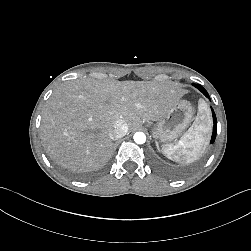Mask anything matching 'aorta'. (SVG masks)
<instances>
[{
	"mask_svg": "<svg viewBox=\"0 0 251 251\" xmlns=\"http://www.w3.org/2000/svg\"><path fill=\"white\" fill-rule=\"evenodd\" d=\"M135 142L137 145H144L147 142L146 136H144L143 134H137L135 136Z\"/></svg>",
	"mask_w": 251,
	"mask_h": 251,
	"instance_id": "obj_1",
	"label": "aorta"
}]
</instances>
